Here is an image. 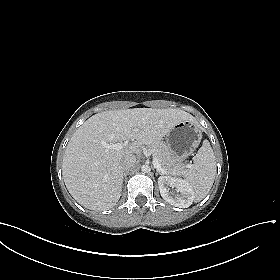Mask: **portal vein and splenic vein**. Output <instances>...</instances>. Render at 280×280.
<instances>
[{
  "instance_id": "portal-vein-and-splenic-vein-1",
  "label": "portal vein and splenic vein",
  "mask_w": 280,
  "mask_h": 280,
  "mask_svg": "<svg viewBox=\"0 0 280 280\" xmlns=\"http://www.w3.org/2000/svg\"><path fill=\"white\" fill-rule=\"evenodd\" d=\"M134 131L138 132L139 128H135ZM104 146L108 149L112 148L115 150H122L126 148V143H115V144L104 143ZM153 165L158 171L162 172L163 174H167V172L162 168V166L160 165V163L158 162L155 156L153 157Z\"/></svg>"
}]
</instances>
